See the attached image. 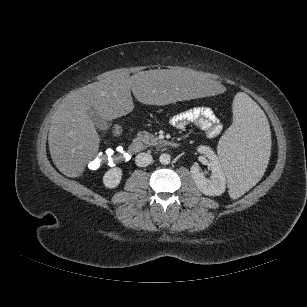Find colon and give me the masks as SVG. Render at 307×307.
<instances>
[{"instance_id": "5ec220e1", "label": "colon", "mask_w": 307, "mask_h": 307, "mask_svg": "<svg viewBox=\"0 0 307 307\" xmlns=\"http://www.w3.org/2000/svg\"><path fill=\"white\" fill-rule=\"evenodd\" d=\"M123 132L121 125H115L112 129L114 136H120ZM126 148L124 145H119L113 149H108L98 153L94 158H92L88 166L92 170L100 169L104 166H114L121 160L125 158Z\"/></svg>"}]
</instances>
